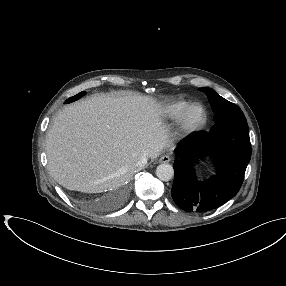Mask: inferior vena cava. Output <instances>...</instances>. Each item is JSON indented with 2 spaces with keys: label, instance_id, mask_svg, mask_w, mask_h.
<instances>
[{
  "label": "inferior vena cava",
  "instance_id": "602c4592",
  "mask_svg": "<svg viewBox=\"0 0 286 286\" xmlns=\"http://www.w3.org/2000/svg\"><path fill=\"white\" fill-rule=\"evenodd\" d=\"M146 162H147V159H146V158L141 159V160L138 162V164H137V166H136V169H140V168L144 167L145 164H146Z\"/></svg>",
  "mask_w": 286,
  "mask_h": 286
}]
</instances>
